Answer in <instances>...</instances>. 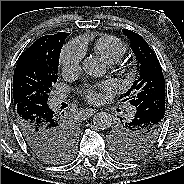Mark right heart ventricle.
<instances>
[{
  "mask_svg": "<svg viewBox=\"0 0 184 184\" xmlns=\"http://www.w3.org/2000/svg\"><path fill=\"white\" fill-rule=\"evenodd\" d=\"M81 41L85 45L84 41ZM93 48L94 51L108 64L117 63L127 52V46L121 39L109 35H103L97 38Z\"/></svg>",
  "mask_w": 184,
  "mask_h": 184,
  "instance_id": "obj_1",
  "label": "right heart ventricle"
}]
</instances>
